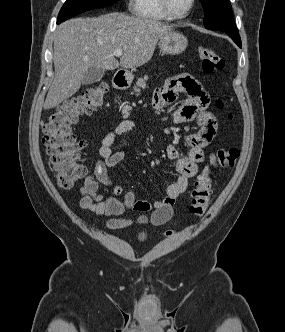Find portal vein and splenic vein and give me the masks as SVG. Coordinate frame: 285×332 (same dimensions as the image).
<instances>
[{"label":"portal vein and splenic vein","instance_id":"portal-vein-and-splenic-vein-1","mask_svg":"<svg viewBox=\"0 0 285 332\" xmlns=\"http://www.w3.org/2000/svg\"><path fill=\"white\" fill-rule=\"evenodd\" d=\"M114 55L116 57H121L123 55V51L121 49H117L115 50Z\"/></svg>","mask_w":285,"mask_h":332}]
</instances>
